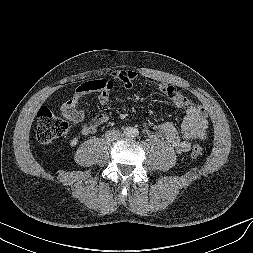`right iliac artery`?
<instances>
[{"instance_id": "right-iliac-artery-1", "label": "right iliac artery", "mask_w": 253, "mask_h": 253, "mask_svg": "<svg viewBox=\"0 0 253 253\" xmlns=\"http://www.w3.org/2000/svg\"><path fill=\"white\" fill-rule=\"evenodd\" d=\"M124 133H125L126 135H129V133H130L129 129H126Z\"/></svg>"}]
</instances>
